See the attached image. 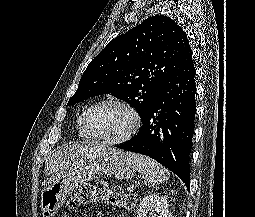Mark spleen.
Instances as JSON below:
<instances>
[{
    "mask_svg": "<svg viewBox=\"0 0 255 217\" xmlns=\"http://www.w3.org/2000/svg\"><path fill=\"white\" fill-rule=\"evenodd\" d=\"M136 170L144 176L147 186H155L169 180L170 173L155 160L135 153H127Z\"/></svg>",
    "mask_w": 255,
    "mask_h": 217,
    "instance_id": "1",
    "label": "spleen"
}]
</instances>
